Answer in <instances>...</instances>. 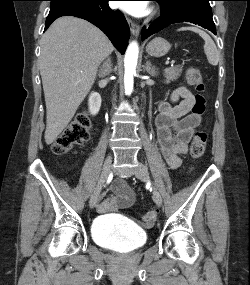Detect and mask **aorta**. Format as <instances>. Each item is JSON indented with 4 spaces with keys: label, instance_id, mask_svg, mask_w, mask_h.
I'll use <instances>...</instances> for the list:
<instances>
[{
    "label": "aorta",
    "instance_id": "762f6f07",
    "mask_svg": "<svg viewBox=\"0 0 250 285\" xmlns=\"http://www.w3.org/2000/svg\"><path fill=\"white\" fill-rule=\"evenodd\" d=\"M139 47L137 42L133 41L129 44L124 58V87L125 93L130 95L133 90V77L136 72L138 61Z\"/></svg>",
    "mask_w": 250,
    "mask_h": 285
}]
</instances>
